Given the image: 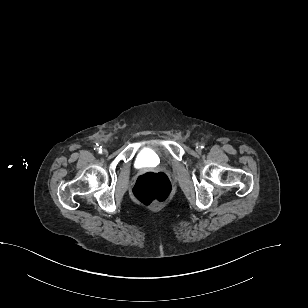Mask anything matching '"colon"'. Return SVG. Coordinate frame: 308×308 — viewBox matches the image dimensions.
I'll return each instance as SVG.
<instances>
[{
    "instance_id": "5ec220e1",
    "label": "colon",
    "mask_w": 308,
    "mask_h": 308,
    "mask_svg": "<svg viewBox=\"0 0 308 308\" xmlns=\"http://www.w3.org/2000/svg\"><path fill=\"white\" fill-rule=\"evenodd\" d=\"M171 191L172 185L166 174L149 172L137 178L132 194L143 205L155 206L164 203Z\"/></svg>"
}]
</instances>
